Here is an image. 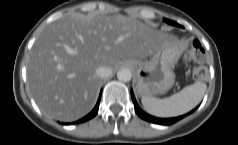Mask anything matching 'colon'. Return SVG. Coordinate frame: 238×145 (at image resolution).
<instances>
[{
    "mask_svg": "<svg viewBox=\"0 0 238 145\" xmlns=\"http://www.w3.org/2000/svg\"><path fill=\"white\" fill-rule=\"evenodd\" d=\"M188 55L193 61L198 63H201L205 60L206 53H205L203 44L200 40L195 39L192 42ZM207 76H208V71L205 67H202V66L196 68L193 72V77L196 80H205Z\"/></svg>",
    "mask_w": 238,
    "mask_h": 145,
    "instance_id": "colon-1",
    "label": "colon"
}]
</instances>
